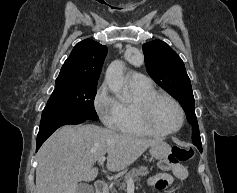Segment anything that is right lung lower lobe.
Returning a JSON list of instances; mask_svg holds the SVG:
<instances>
[{
  "label": "right lung lower lobe",
  "mask_w": 237,
  "mask_h": 193,
  "mask_svg": "<svg viewBox=\"0 0 237 193\" xmlns=\"http://www.w3.org/2000/svg\"><path fill=\"white\" fill-rule=\"evenodd\" d=\"M85 120L86 119L68 117L55 112L43 111L39 133L37 135L36 151L41 147L43 142L59 127L68 124H80Z\"/></svg>",
  "instance_id": "obj_1"
}]
</instances>
